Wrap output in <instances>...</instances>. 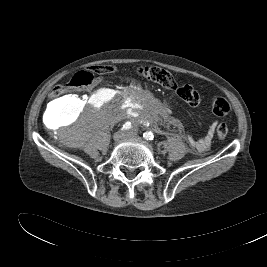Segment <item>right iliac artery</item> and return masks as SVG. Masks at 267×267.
Wrapping results in <instances>:
<instances>
[{
	"instance_id": "obj_1",
	"label": "right iliac artery",
	"mask_w": 267,
	"mask_h": 267,
	"mask_svg": "<svg viewBox=\"0 0 267 267\" xmlns=\"http://www.w3.org/2000/svg\"><path fill=\"white\" fill-rule=\"evenodd\" d=\"M131 128H132V125L130 122H126L122 127V129H124V130H129Z\"/></svg>"
}]
</instances>
